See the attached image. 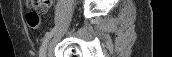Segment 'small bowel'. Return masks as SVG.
<instances>
[{"mask_svg": "<svg viewBox=\"0 0 172 57\" xmlns=\"http://www.w3.org/2000/svg\"><path fill=\"white\" fill-rule=\"evenodd\" d=\"M53 1L52 0H45L42 4L38 5V10L41 13H46L48 9L52 6Z\"/></svg>", "mask_w": 172, "mask_h": 57, "instance_id": "obj_1", "label": "small bowel"}]
</instances>
